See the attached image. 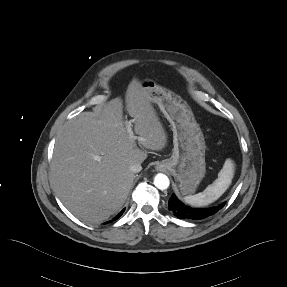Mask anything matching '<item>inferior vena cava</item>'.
<instances>
[{"label":"inferior vena cava","instance_id":"602c4592","mask_svg":"<svg viewBox=\"0 0 287 287\" xmlns=\"http://www.w3.org/2000/svg\"><path fill=\"white\" fill-rule=\"evenodd\" d=\"M130 170L133 172V173H138L142 170V166L140 163H133L131 166H130Z\"/></svg>","mask_w":287,"mask_h":287}]
</instances>
